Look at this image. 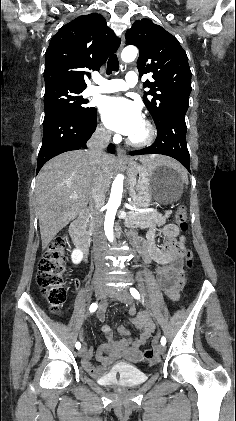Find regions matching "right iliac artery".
I'll return each mask as SVG.
<instances>
[{"mask_svg": "<svg viewBox=\"0 0 236 421\" xmlns=\"http://www.w3.org/2000/svg\"><path fill=\"white\" fill-rule=\"evenodd\" d=\"M97 308H98L97 303H92L89 310H90V312H94V311H96ZM75 347H76V349L79 350L81 348L80 342H76Z\"/></svg>", "mask_w": 236, "mask_h": 421, "instance_id": "82829eb1", "label": "right iliac artery"}]
</instances>
